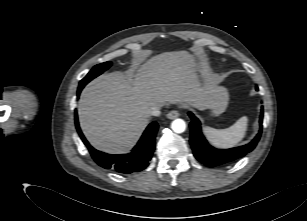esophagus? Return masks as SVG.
<instances>
[{"mask_svg":"<svg viewBox=\"0 0 307 221\" xmlns=\"http://www.w3.org/2000/svg\"><path fill=\"white\" fill-rule=\"evenodd\" d=\"M178 116H179V112L177 110H172V111L168 112V114H167L168 119H175Z\"/></svg>","mask_w":307,"mask_h":221,"instance_id":"1","label":"esophagus"}]
</instances>
